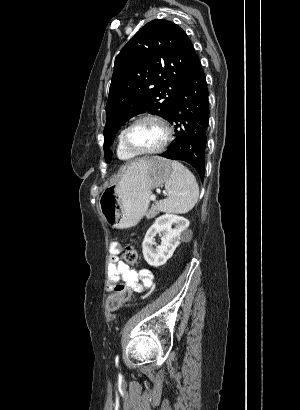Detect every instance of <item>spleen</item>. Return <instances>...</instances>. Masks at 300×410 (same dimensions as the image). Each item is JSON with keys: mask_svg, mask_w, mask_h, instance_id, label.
I'll list each match as a JSON object with an SVG mask.
<instances>
[{"mask_svg": "<svg viewBox=\"0 0 300 410\" xmlns=\"http://www.w3.org/2000/svg\"><path fill=\"white\" fill-rule=\"evenodd\" d=\"M172 173L165 182L167 198L160 202V210L167 213L189 212L199 198V187L194 175L178 161H172Z\"/></svg>", "mask_w": 300, "mask_h": 410, "instance_id": "3e777b00", "label": "spleen"}]
</instances>
